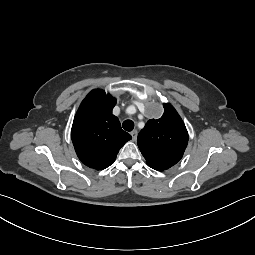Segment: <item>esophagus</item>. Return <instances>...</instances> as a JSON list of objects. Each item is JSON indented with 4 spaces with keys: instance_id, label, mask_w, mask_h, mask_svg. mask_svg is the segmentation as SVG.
<instances>
[{
    "instance_id": "esophagus-1",
    "label": "esophagus",
    "mask_w": 255,
    "mask_h": 255,
    "mask_svg": "<svg viewBox=\"0 0 255 255\" xmlns=\"http://www.w3.org/2000/svg\"><path fill=\"white\" fill-rule=\"evenodd\" d=\"M131 136H132V139H133V141H136V139H137V131L136 130H133L131 133Z\"/></svg>"
}]
</instances>
